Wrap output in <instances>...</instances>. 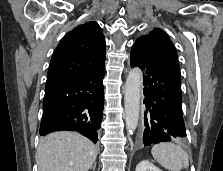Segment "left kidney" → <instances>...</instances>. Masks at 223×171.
Instances as JSON below:
<instances>
[{
  "mask_svg": "<svg viewBox=\"0 0 223 171\" xmlns=\"http://www.w3.org/2000/svg\"><path fill=\"white\" fill-rule=\"evenodd\" d=\"M135 171H162V170L157 168L154 164H152L148 160H143L136 166Z\"/></svg>",
  "mask_w": 223,
  "mask_h": 171,
  "instance_id": "5707ae66",
  "label": "left kidney"
}]
</instances>
